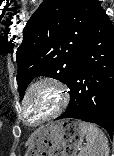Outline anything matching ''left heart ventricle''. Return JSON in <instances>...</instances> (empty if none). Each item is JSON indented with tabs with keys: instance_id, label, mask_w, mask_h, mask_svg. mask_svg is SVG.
<instances>
[{
	"instance_id": "1",
	"label": "left heart ventricle",
	"mask_w": 114,
	"mask_h": 156,
	"mask_svg": "<svg viewBox=\"0 0 114 156\" xmlns=\"http://www.w3.org/2000/svg\"><path fill=\"white\" fill-rule=\"evenodd\" d=\"M56 96L48 87L38 88L28 102V114L31 120H36L53 110Z\"/></svg>"
}]
</instances>
